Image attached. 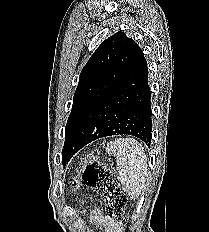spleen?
I'll return each mask as SVG.
<instances>
[{"label": "spleen", "instance_id": "spleen-1", "mask_svg": "<svg viewBox=\"0 0 209 232\" xmlns=\"http://www.w3.org/2000/svg\"><path fill=\"white\" fill-rule=\"evenodd\" d=\"M116 157L118 179L132 199L139 198L147 177V156L143 146L132 138H117L106 147Z\"/></svg>", "mask_w": 209, "mask_h": 232}]
</instances>
